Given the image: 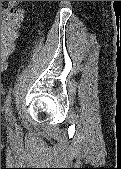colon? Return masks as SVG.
<instances>
[{
  "label": "colon",
  "mask_w": 121,
  "mask_h": 169,
  "mask_svg": "<svg viewBox=\"0 0 121 169\" xmlns=\"http://www.w3.org/2000/svg\"><path fill=\"white\" fill-rule=\"evenodd\" d=\"M22 19L23 10L15 6V1H10L1 12V70L6 69Z\"/></svg>",
  "instance_id": "1"
}]
</instances>
